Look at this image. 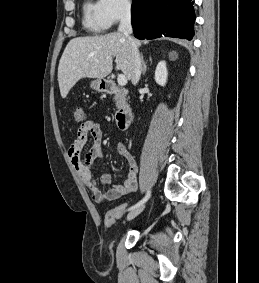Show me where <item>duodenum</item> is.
Returning a JSON list of instances; mask_svg holds the SVG:
<instances>
[{"mask_svg": "<svg viewBox=\"0 0 259 283\" xmlns=\"http://www.w3.org/2000/svg\"><path fill=\"white\" fill-rule=\"evenodd\" d=\"M104 91L109 94L125 93V90L118 87L115 83L107 81L103 87ZM132 119V110L128 106L121 107L116 114V121L118 127L125 131L129 128Z\"/></svg>", "mask_w": 259, "mask_h": 283, "instance_id": "410a0bca", "label": "duodenum"}]
</instances>
